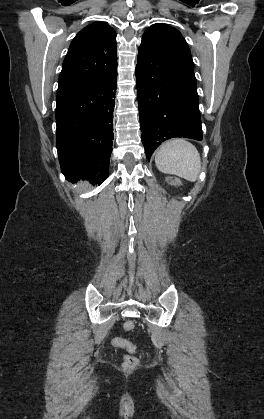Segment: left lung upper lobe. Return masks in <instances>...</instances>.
<instances>
[{"label":"left lung upper lobe","instance_id":"5c2ea615","mask_svg":"<svg viewBox=\"0 0 264 419\" xmlns=\"http://www.w3.org/2000/svg\"><path fill=\"white\" fill-rule=\"evenodd\" d=\"M153 39H163L167 41L171 46L170 51L172 55L182 61L185 73L194 76V63L190 50L179 31L167 24H153L144 32L142 41H150Z\"/></svg>","mask_w":264,"mask_h":419}]
</instances>
